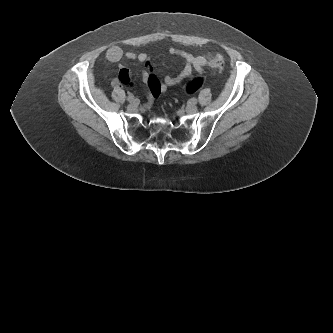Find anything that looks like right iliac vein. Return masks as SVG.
<instances>
[{
  "mask_svg": "<svg viewBox=\"0 0 333 333\" xmlns=\"http://www.w3.org/2000/svg\"><path fill=\"white\" fill-rule=\"evenodd\" d=\"M127 110L129 112H136L137 111V105L136 104H129L128 107H127Z\"/></svg>",
  "mask_w": 333,
  "mask_h": 333,
  "instance_id": "1",
  "label": "right iliac vein"
}]
</instances>
